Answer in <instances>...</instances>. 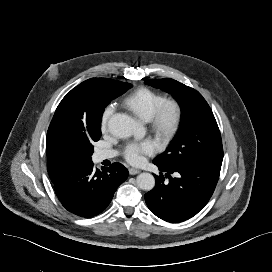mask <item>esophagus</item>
<instances>
[{"instance_id": "esophagus-1", "label": "esophagus", "mask_w": 272, "mask_h": 272, "mask_svg": "<svg viewBox=\"0 0 272 272\" xmlns=\"http://www.w3.org/2000/svg\"><path fill=\"white\" fill-rule=\"evenodd\" d=\"M140 173V170L139 169H136V168H129V174L130 175H136Z\"/></svg>"}]
</instances>
